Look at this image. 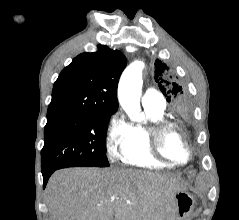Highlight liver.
<instances>
[{
  "label": "liver",
  "mask_w": 239,
  "mask_h": 220,
  "mask_svg": "<svg viewBox=\"0 0 239 220\" xmlns=\"http://www.w3.org/2000/svg\"><path fill=\"white\" fill-rule=\"evenodd\" d=\"M178 178L121 168H69L46 187L51 220H165L174 194L186 191Z\"/></svg>",
  "instance_id": "1"
}]
</instances>
